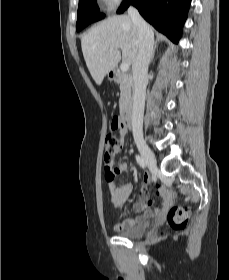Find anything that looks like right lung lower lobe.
I'll return each instance as SVG.
<instances>
[{
    "label": "right lung lower lobe",
    "instance_id": "right-lung-lower-lobe-1",
    "mask_svg": "<svg viewBox=\"0 0 229 280\" xmlns=\"http://www.w3.org/2000/svg\"><path fill=\"white\" fill-rule=\"evenodd\" d=\"M190 2L191 0H124L117 12L123 13L132 4L158 31L178 42Z\"/></svg>",
    "mask_w": 229,
    "mask_h": 280
}]
</instances>
